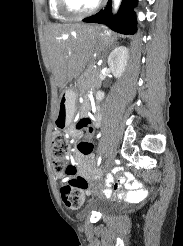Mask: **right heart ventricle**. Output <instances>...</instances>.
Wrapping results in <instances>:
<instances>
[{
    "label": "right heart ventricle",
    "mask_w": 183,
    "mask_h": 246,
    "mask_svg": "<svg viewBox=\"0 0 183 246\" xmlns=\"http://www.w3.org/2000/svg\"><path fill=\"white\" fill-rule=\"evenodd\" d=\"M49 11L51 16L56 20H67L68 16L63 14L58 7V0L48 1Z\"/></svg>",
    "instance_id": "right-heart-ventricle-1"
}]
</instances>
